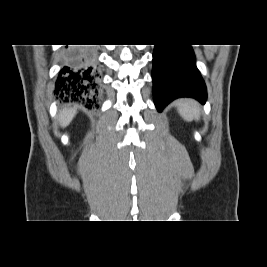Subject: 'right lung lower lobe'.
<instances>
[{
    "mask_svg": "<svg viewBox=\"0 0 267 267\" xmlns=\"http://www.w3.org/2000/svg\"><path fill=\"white\" fill-rule=\"evenodd\" d=\"M94 63L92 49L69 47L65 65L59 71L55 82L54 93L65 102L93 103L94 93H97L98 76Z\"/></svg>",
    "mask_w": 267,
    "mask_h": 267,
    "instance_id": "1",
    "label": "right lung lower lobe"
}]
</instances>
